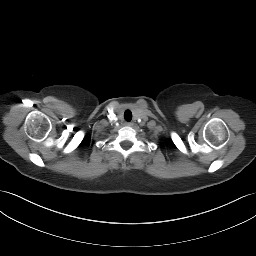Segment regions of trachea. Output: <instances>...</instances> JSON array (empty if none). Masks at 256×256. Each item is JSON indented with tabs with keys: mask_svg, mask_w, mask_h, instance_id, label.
I'll return each mask as SVG.
<instances>
[{
	"mask_svg": "<svg viewBox=\"0 0 256 256\" xmlns=\"http://www.w3.org/2000/svg\"><path fill=\"white\" fill-rule=\"evenodd\" d=\"M124 118H125L126 121H131V119H132V113H131L130 110H126V111L124 112Z\"/></svg>",
	"mask_w": 256,
	"mask_h": 256,
	"instance_id": "trachea-1",
	"label": "trachea"
}]
</instances>
